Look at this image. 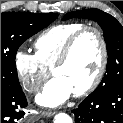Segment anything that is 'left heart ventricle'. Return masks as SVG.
Listing matches in <instances>:
<instances>
[{
  "mask_svg": "<svg viewBox=\"0 0 123 123\" xmlns=\"http://www.w3.org/2000/svg\"><path fill=\"white\" fill-rule=\"evenodd\" d=\"M100 58L99 40L95 33L89 32L79 39L69 61L54 75L65 79L73 92L81 90L95 75Z\"/></svg>",
  "mask_w": 123,
  "mask_h": 123,
  "instance_id": "1",
  "label": "left heart ventricle"
}]
</instances>
